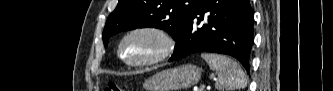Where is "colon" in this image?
Masks as SVG:
<instances>
[{
  "label": "colon",
  "instance_id": "5ec220e1",
  "mask_svg": "<svg viewBox=\"0 0 333 91\" xmlns=\"http://www.w3.org/2000/svg\"><path fill=\"white\" fill-rule=\"evenodd\" d=\"M124 90H126L125 86L119 85L115 82H109L105 87V91H124Z\"/></svg>",
  "mask_w": 333,
  "mask_h": 91
}]
</instances>
